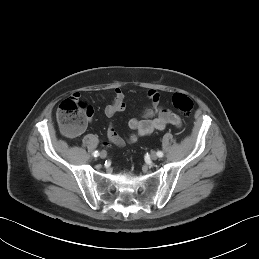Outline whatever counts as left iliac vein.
<instances>
[{
	"label": "left iliac vein",
	"instance_id": "4c4485c4",
	"mask_svg": "<svg viewBox=\"0 0 259 259\" xmlns=\"http://www.w3.org/2000/svg\"><path fill=\"white\" fill-rule=\"evenodd\" d=\"M151 159L154 160V161L158 159V156H157L156 152L151 153Z\"/></svg>",
	"mask_w": 259,
	"mask_h": 259
}]
</instances>
